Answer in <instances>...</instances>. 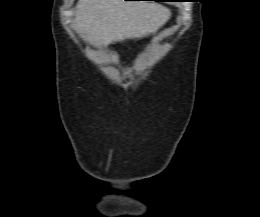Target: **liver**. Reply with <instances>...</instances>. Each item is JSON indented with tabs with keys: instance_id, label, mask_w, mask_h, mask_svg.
<instances>
[{
	"instance_id": "6515ba94",
	"label": "liver",
	"mask_w": 260,
	"mask_h": 217,
	"mask_svg": "<svg viewBox=\"0 0 260 217\" xmlns=\"http://www.w3.org/2000/svg\"><path fill=\"white\" fill-rule=\"evenodd\" d=\"M170 16L168 8L155 3L79 0L74 30L91 44L107 46L155 33Z\"/></svg>"
}]
</instances>
